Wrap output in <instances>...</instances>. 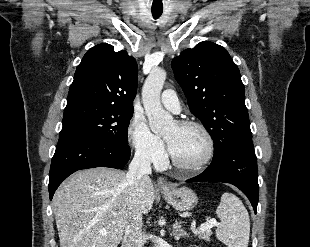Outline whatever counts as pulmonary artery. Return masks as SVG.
<instances>
[{
	"label": "pulmonary artery",
	"mask_w": 310,
	"mask_h": 247,
	"mask_svg": "<svg viewBox=\"0 0 310 247\" xmlns=\"http://www.w3.org/2000/svg\"><path fill=\"white\" fill-rule=\"evenodd\" d=\"M161 102L163 106L172 112L180 110V101L175 91L171 89L164 90L161 94Z\"/></svg>",
	"instance_id": "1"
}]
</instances>
